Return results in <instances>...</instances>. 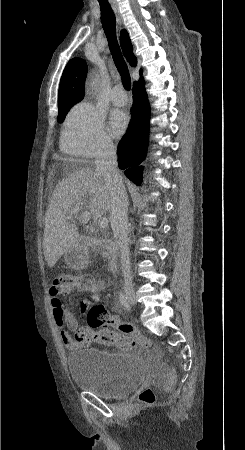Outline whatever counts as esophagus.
<instances>
[{
    "instance_id": "1",
    "label": "esophagus",
    "mask_w": 245,
    "mask_h": 450,
    "mask_svg": "<svg viewBox=\"0 0 245 450\" xmlns=\"http://www.w3.org/2000/svg\"><path fill=\"white\" fill-rule=\"evenodd\" d=\"M111 6H112V8H113V10L115 12L117 22H118V24H120L121 23V16H120V13H119V7H118V5L116 3H111Z\"/></svg>"
}]
</instances>
